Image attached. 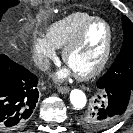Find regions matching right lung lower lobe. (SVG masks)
Listing matches in <instances>:
<instances>
[{
    "label": "right lung lower lobe",
    "mask_w": 133,
    "mask_h": 133,
    "mask_svg": "<svg viewBox=\"0 0 133 133\" xmlns=\"http://www.w3.org/2000/svg\"><path fill=\"white\" fill-rule=\"evenodd\" d=\"M38 79L25 67L0 55V130L21 127L38 101Z\"/></svg>",
    "instance_id": "1"
}]
</instances>
